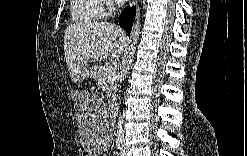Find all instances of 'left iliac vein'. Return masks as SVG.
I'll use <instances>...</instances> for the list:
<instances>
[{"instance_id":"left-iliac-vein-1","label":"left iliac vein","mask_w":247,"mask_h":156,"mask_svg":"<svg viewBox=\"0 0 247 156\" xmlns=\"http://www.w3.org/2000/svg\"><path fill=\"white\" fill-rule=\"evenodd\" d=\"M123 156H126V150L124 144L122 145V151H121Z\"/></svg>"}]
</instances>
